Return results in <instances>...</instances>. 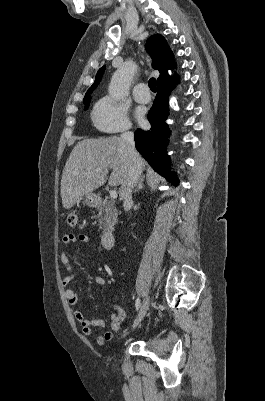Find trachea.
<instances>
[{
	"label": "trachea",
	"mask_w": 265,
	"mask_h": 401,
	"mask_svg": "<svg viewBox=\"0 0 265 401\" xmlns=\"http://www.w3.org/2000/svg\"><path fill=\"white\" fill-rule=\"evenodd\" d=\"M156 79L155 78H150L149 82H148V86L151 89L152 92H156Z\"/></svg>",
	"instance_id": "3493384b"
}]
</instances>
